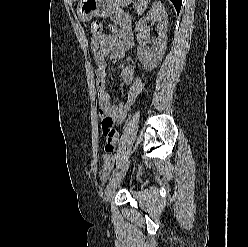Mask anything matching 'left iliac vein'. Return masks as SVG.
<instances>
[{
	"label": "left iliac vein",
	"mask_w": 248,
	"mask_h": 247,
	"mask_svg": "<svg viewBox=\"0 0 248 247\" xmlns=\"http://www.w3.org/2000/svg\"><path fill=\"white\" fill-rule=\"evenodd\" d=\"M129 163L130 161L127 160L122 168L117 172V174L111 178L109 184H108V187L106 189V196H105V200L107 203H109L111 201V198L116 190V188L118 187V185L120 184V182L122 181V179L124 178L127 170H128V167H129Z\"/></svg>",
	"instance_id": "obj_1"
}]
</instances>
